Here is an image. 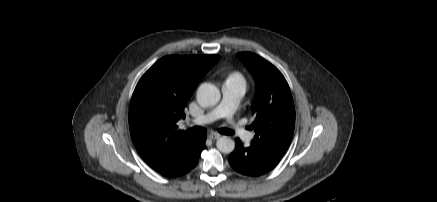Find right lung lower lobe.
Segmentation results:
<instances>
[{
	"label": "right lung lower lobe",
	"instance_id": "obj_1",
	"mask_svg": "<svg viewBox=\"0 0 437 202\" xmlns=\"http://www.w3.org/2000/svg\"><path fill=\"white\" fill-rule=\"evenodd\" d=\"M206 136H197L178 158L157 170L166 177H179L190 172L198 163L201 151L205 148Z\"/></svg>",
	"mask_w": 437,
	"mask_h": 202
}]
</instances>
